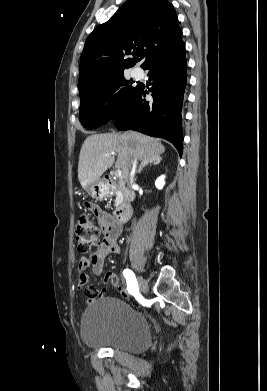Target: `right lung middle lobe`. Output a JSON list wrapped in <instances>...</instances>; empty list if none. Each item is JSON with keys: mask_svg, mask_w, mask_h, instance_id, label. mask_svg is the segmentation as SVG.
Returning a JSON list of instances; mask_svg holds the SVG:
<instances>
[{"mask_svg": "<svg viewBox=\"0 0 267 391\" xmlns=\"http://www.w3.org/2000/svg\"><path fill=\"white\" fill-rule=\"evenodd\" d=\"M124 74L108 76L80 94L79 120L89 129L99 127L113 118L139 89L130 85Z\"/></svg>", "mask_w": 267, "mask_h": 391, "instance_id": "dd1d6c3e", "label": "right lung middle lobe"}]
</instances>
